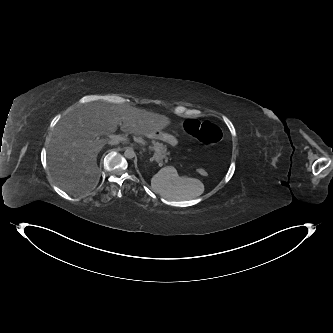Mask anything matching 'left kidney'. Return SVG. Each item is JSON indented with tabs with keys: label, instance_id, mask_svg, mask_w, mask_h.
I'll list each match as a JSON object with an SVG mask.
<instances>
[{
	"label": "left kidney",
	"instance_id": "1",
	"mask_svg": "<svg viewBox=\"0 0 333 333\" xmlns=\"http://www.w3.org/2000/svg\"><path fill=\"white\" fill-rule=\"evenodd\" d=\"M171 168L174 170L175 173H177V171H176V169L174 167H171Z\"/></svg>",
	"mask_w": 333,
	"mask_h": 333
}]
</instances>
